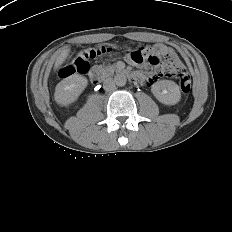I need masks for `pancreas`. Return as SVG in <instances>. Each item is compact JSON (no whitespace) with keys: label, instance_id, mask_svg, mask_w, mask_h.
I'll use <instances>...</instances> for the list:
<instances>
[{"label":"pancreas","instance_id":"obj_1","mask_svg":"<svg viewBox=\"0 0 232 232\" xmlns=\"http://www.w3.org/2000/svg\"><path fill=\"white\" fill-rule=\"evenodd\" d=\"M100 72L104 76H109L114 73L116 67L114 65L99 66Z\"/></svg>","mask_w":232,"mask_h":232}]
</instances>
